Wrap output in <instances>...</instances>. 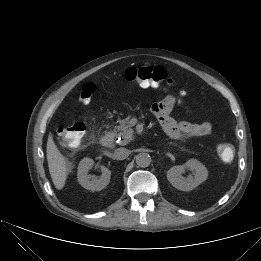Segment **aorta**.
<instances>
[{
	"label": "aorta",
	"instance_id": "aorta-1",
	"mask_svg": "<svg viewBox=\"0 0 261 261\" xmlns=\"http://www.w3.org/2000/svg\"><path fill=\"white\" fill-rule=\"evenodd\" d=\"M135 159L136 164L143 168L148 167L151 163V156L146 152L139 153L136 155Z\"/></svg>",
	"mask_w": 261,
	"mask_h": 261
}]
</instances>
